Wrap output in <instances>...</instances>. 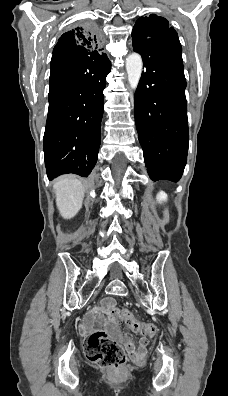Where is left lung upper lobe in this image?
Segmentation results:
<instances>
[{
    "instance_id": "5c2ea615",
    "label": "left lung upper lobe",
    "mask_w": 228,
    "mask_h": 396,
    "mask_svg": "<svg viewBox=\"0 0 228 396\" xmlns=\"http://www.w3.org/2000/svg\"><path fill=\"white\" fill-rule=\"evenodd\" d=\"M132 40L149 41L156 45L182 53L178 35L169 22L156 14L140 17L132 30Z\"/></svg>"
}]
</instances>
